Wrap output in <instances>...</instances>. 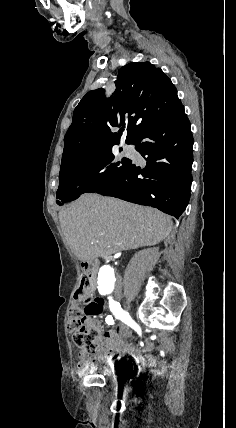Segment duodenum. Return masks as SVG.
<instances>
[{
    "label": "duodenum",
    "instance_id": "obj_1",
    "mask_svg": "<svg viewBox=\"0 0 236 428\" xmlns=\"http://www.w3.org/2000/svg\"><path fill=\"white\" fill-rule=\"evenodd\" d=\"M82 269L85 276L89 280L90 288L94 290L96 287V271H97L96 263L93 261H84L82 263Z\"/></svg>",
    "mask_w": 236,
    "mask_h": 428
}]
</instances>
